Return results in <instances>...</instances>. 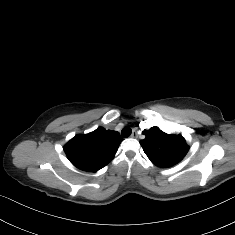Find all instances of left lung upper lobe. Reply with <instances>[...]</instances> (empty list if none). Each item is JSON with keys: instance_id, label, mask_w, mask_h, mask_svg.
Returning <instances> with one entry per match:
<instances>
[{"instance_id": "1", "label": "left lung upper lobe", "mask_w": 235, "mask_h": 235, "mask_svg": "<svg viewBox=\"0 0 235 235\" xmlns=\"http://www.w3.org/2000/svg\"><path fill=\"white\" fill-rule=\"evenodd\" d=\"M145 139L140 141L144 152L158 167H171L187 154L189 146L181 135H169L157 127L144 130Z\"/></svg>"}]
</instances>
